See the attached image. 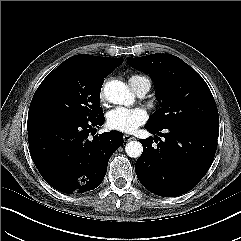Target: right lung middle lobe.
Returning a JSON list of instances; mask_svg holds the SVG:
<instances>
[{
    "instance_id": "dd1d6c3e",
    "label": "right lung middle lobe",
    "mask_w": 241,
    "mask_h": 241,
    "mask_svg": "<svg viewBox=\"0 0 241 241\" xmlns=\"http://www.w3.org/2000/svg\"><path fill=\"white\" fill-rule=\"evenodd\" d=\"M103 79L84 76L68 59L40 84L30 104L28 122L44 119L88 121L103 114Z\"/></svg>"
}]
</instances>
